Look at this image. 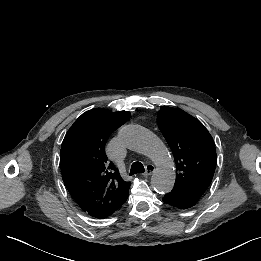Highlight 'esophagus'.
Wrapping results in <instances>:
<instances>
[{
	"instance_id": "esophagus-1",
	"label": "esophagus",
	"mask_w": 261,
	"mask_h": 261,
	"mask_svg": "<svg viewBox=\"0 0 261 261\" xmlns=\"http://www.w3.org/2000/svg\"><path fill=\"white\" fill-rule=\"evenodd\" d=\"M145 169H146V172L143 173V176H149L154 172L155 166L153 164L149 163L146 165Z\"/></svg>"
}]
</instances>
